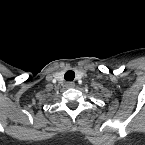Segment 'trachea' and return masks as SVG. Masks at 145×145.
<instances>
[{
	"label": "trachea",
	"mask_w": 145,
	"mask_h": 145,
	"mask_svg": "<svg viewBox=\"0 0 145 145\" xmlns=\"http://www.w3.org/2000/svg\"><path fill=\"white\" fill-rule=\"evenodd\" d=\"M74 78H75V72L73 70H68L64 75V79L66 81H73Z\"/></svg>",
	"instance_id": "obj_1"
}]
</instances>
